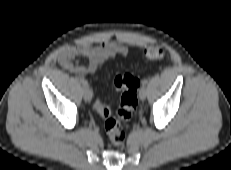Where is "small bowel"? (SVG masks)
<instances>
[{"label": "small bowel", "instance_id": "c3829d8e", "mask_svg": "<svg viewBox=\"0 0 231 170\" xmlns=\"http://www.w3.org/2000/svg\"><path fill=\"white\" fill-rule=\"evenodd\" d=\"M116 55L127 56V47L115 41H105L96 46L82 43L62 49L58 56V62L64 69L77 76L87 74L95 76L98 67L105 60ZM82 58L88 60V65L80 63Z\"/></svg>", "mask_w": 231, "mask_h": 170}]
</instances>
